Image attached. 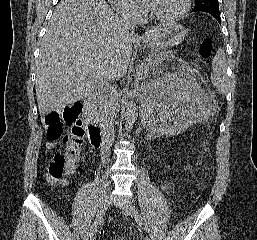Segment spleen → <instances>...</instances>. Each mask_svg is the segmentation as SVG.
<instances>
[{
    "mask_svg": "<svg viewBox=\"0 0 257 240\" xmlns=\"http://www.w3.org/2000/svg\"><path fill=\"white\" fill-rule=\"evenodd\" d=\"M213 72L211 74V82L222 94L228 90L227 74H226V56L222 49H219L212 60Z\"/></svg>",
    "mask_w": 257,
    "mask_h": 240,
    "instance_id": "spleen-1",
    "label": "spleen"
}]
</instances>
